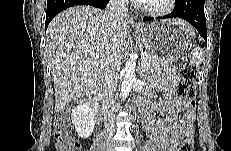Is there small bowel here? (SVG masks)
Instances as JSON below:
<instances>
[{
    "mask_svg": "<svg viewBox=\"0 0 231 151\" xmlns=\"http://www.w3.org/2000/svg\"><path fill=\"white\" fill-rule=\"evenodd\" d=\"M176 83L174 74L163 75L148 90L142 109L147 136L161 151H176L180 139L193 136L195 132L194 112L182 113L181 102L175 93ZM156 92L161 95L159 99H154ZM152 113H160L164 118L154 117Z\"/></svg>",
    "mask_w": 231,
    "mask_h": 151,
    "instance_id": "1",
    "label": "small bowel"
}]
</instances>
